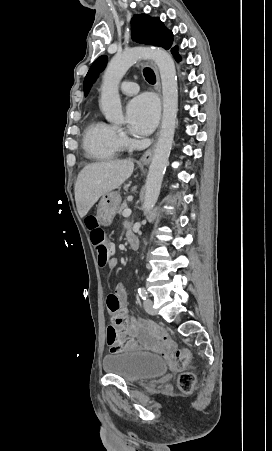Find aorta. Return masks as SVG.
I'll list each match as a JSON object with an SVG mask.
<instances>
[{"label":"aorta","instance_id":"1","mask_svg":"<svg viewBox=\"0 0 272 451\" xmlns=\"http://www.w3.org/2000/svg\"><path fill=\"white\" fill-rule=\"evenodd\" d=\"M138 60H154L160 72L163 96V116L158 142L155 146L147 180L143 210L145 216L153 210L161 190L171 146L173 144L177 108L178 86L175 64L168 52L156 48H131L122 54H116L110 60L102 78L99 108L108 122L122 124L121 102L118 84L127 70Z\"/></svg>","mask_w":272,"mask_h":451}]
</instances>
